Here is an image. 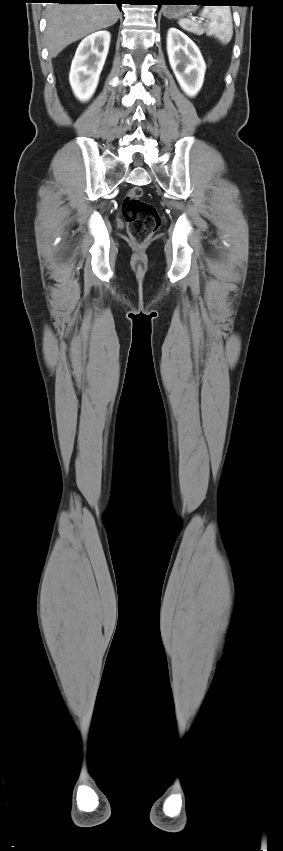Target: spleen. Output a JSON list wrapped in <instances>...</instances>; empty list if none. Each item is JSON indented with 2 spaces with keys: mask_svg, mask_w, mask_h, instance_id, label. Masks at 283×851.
Instances as JSON below:
<instances>
[{
  "mask_svg": "<svg viewBox=\"0 0 283 851\" xmlns=\"http://www.w3.org/2000/svg\"><path fill=\"white\" fill-rule=\"evenodd\" d=\"M200 15L210 20L205 26L209 34L215 35L222 43L227 44L233 35L232 15L229 7H204ZM179 25L186 31L199 32L203 27L190 19H180Z\"/></svg>",
  "mask_w": 283,
  "mask_h": 851,
  "instance_id": "1",
  "label": "spleen"
}]
</instances>
